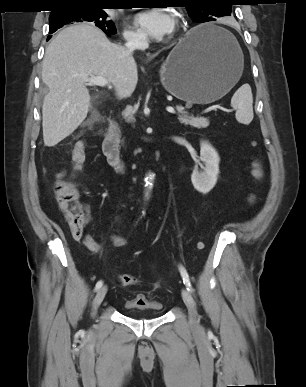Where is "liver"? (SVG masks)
I'll use <instances>...</instances> for the list:
<instances>
[{"mask_svg":"<svg viewBox=\"0 0 306 387\" xmlns=\"http://www.w3.org/2000/svg\"><path fill=\"white\" fill-rule=\"evenodd\" d=\"M103 77L117 94L135 90L137 65L131 52L109 41L87 23L69 26L52 39L42 62V81L49 92L42 106L44 144L53 147L71 135L87 117L91 96L87 78Z\"/></svg>","mask_w":306,"mask_h":387,"instance_id":"obj_1","label":"liver"}]
</instances>
